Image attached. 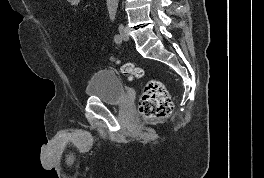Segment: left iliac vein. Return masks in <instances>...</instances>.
<instances>
[{
  "label": "left iliac vein",
  "instance_id": "4c4485c4",
  "mask_svg": "<svg viewBox=\"0 0 264 178\" xmlns=\"http://www.w3.org/2000/svg\"><path fill=\"white\" fill-rule=\"evenodd\" d=\"M119 33H120L121 40H124V41L129 40V35H128L125 27L122 24L119 25Z\"/></svg>",
  "mask_w": 264,
  "mask_h": 178
}]
</instances>
